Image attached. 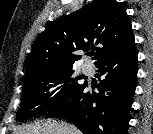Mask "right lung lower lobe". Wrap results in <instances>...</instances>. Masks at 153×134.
Returning a JSON list of instances; mask_svg holds the SVG:
<instances>
[{
    "mask_svg": "<svg viewBox=\"0 0 153 134\" xmlns=\"http://www.w3.org/2000/svg\"><path fill=\"white\" fill-rule=\"evenodd\" d=\"M137 63L134 42L105 56L95 64L105 77L97 86L99 92H86V84L70 100L48 111L46 118L71 120L83 134H127Z\"/></svg>",
    "mask_w": 153,
    "mask_h": 134,
    "instance_id": "right-lung-lower-lobe-1",
    "label": "right lung lower lobe"
}]
</instances>
